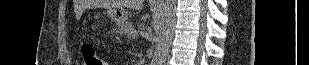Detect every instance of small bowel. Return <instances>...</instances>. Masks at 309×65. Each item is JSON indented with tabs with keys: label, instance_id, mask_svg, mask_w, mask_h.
<instances>
[{
	"label": "small bowel",
	"instance_id": "small-bowel-1",
	"mask_svg": "<svg viewBox=\"0 0 309 65\" xmlns=\"http://www.w3.org/2000/svg\"><path fill=\"white\" fill-rule=\"evenodd\" d=\"M103 65H109L107 62H103Z\"/></svg>",
	"mask_w": 309,
	"mask_h": 65
}]
</instances>
